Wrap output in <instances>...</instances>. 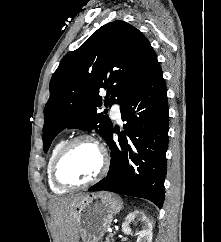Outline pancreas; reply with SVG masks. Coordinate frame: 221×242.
<instances>
[{
	"mask_svg": "<svg viewBox=\"0 0 221 242\" xmlns=\"http://www.w3.org/2000/svg\"><path fill=\"white\" fill-rule=\"evenodd\" d=\"M110 237V236H109ZM109 237L106 238V241L105 242H113L109 239Z\"/></svg>",
	"mask_w": 221,
	"mask_h": 242,
	"instance_id": "cf45deb5",
	"label": "pancreas"
}]
</instances>
